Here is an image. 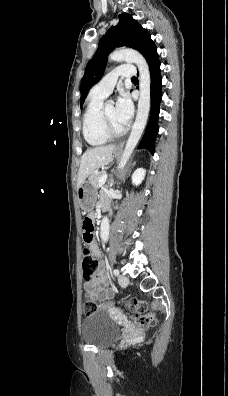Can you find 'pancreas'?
<instances>
[{"mask_svg":"<svg viewBox=\"0 0 228 396\" xmlns=\"http://www.w3.org/2000/svg\"><path fill=\"white\" fill-rule=\"evenodd\" d=\"M104 172H98V173H93L89 177V182L92 184V186L98 188L99 187V180L102 177Z\"/></svg>","mask_w":228,"mask_h":396,"instance_id":"obj_1","label":"pancreas"}]
</instances>
